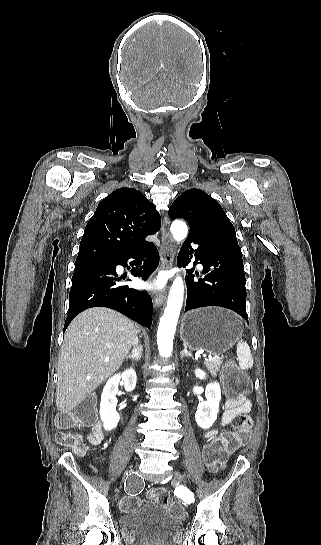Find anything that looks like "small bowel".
Masks as SVG:
<instances>
[{
	"label": "small bowel",
	"mask_w": 321,
	"mask_h": 545,
	"mask_svg": "<svg viewBox=\"0 0 321 545\" xmlns=\"http://www.w3.org/2000/svg\"><path fill=\"white\" fill-rule=\"evenodd\" d=\"M225 410L222 414L220 424L222 426L228 425L235 419L238 415L242 413H247L251 410V402L245 397H239L236 399L228 398L224 404ZM217 434L216 430L207 432L205 436L207 438H212ZM105 437L101 423H96L89 434V441L93 444L100 443Z\"/></svg>",
	"instance_id": "1"
}]
</instances>
